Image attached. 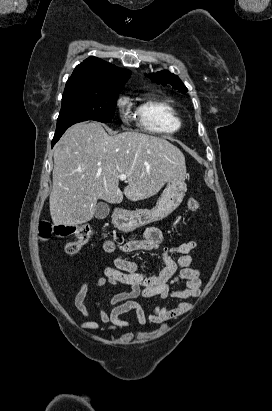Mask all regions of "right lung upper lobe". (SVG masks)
Listing matches in <instances>:
<instances>
[{
	"label": "right lung upper lobe",
	"mask_w": 272,
	"mask_h": 411,
	"mask_svg": "<svg viewBox=\"0 0 272 411\" xmlns=\"http://www.w3.org/2000/svg\"><path fill=\"white\" fill-rule=\"evenodd\" d=\"M130 75L129 70L91 56L76 66L67 80L64 92L89 91L103 86H124Z\"/></svg>",
	"instance_id": "cb5924a9"
}]
</instances>
